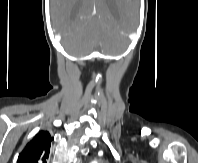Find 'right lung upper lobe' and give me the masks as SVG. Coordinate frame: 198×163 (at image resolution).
I'll use <instances>...</instances> for the list:
<instances>
[{"mask_svg": "<svg viewBox=\"0 0 198 163\" xmlns=\"http://www.w3.org/2000/svg\"><path fill=\"white\" fill-rule=\"evenodd\" d=\"M52 140L48 131H40L20 153L17 163H46Z\"/></svg>", "mask_w": 198, "mask_h": 163, "instance_id": "right-lung-upper-lobe-1", "label": "right lung upper lobe"}]
</instances>
